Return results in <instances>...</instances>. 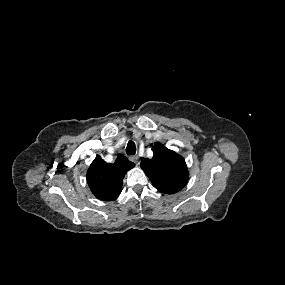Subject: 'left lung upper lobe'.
<instances>
[{"instance_id":"obj_1","label":"left lung upper lobe","mask_w":285,"mask_h":285,"mask_svg":"<svg viewBox=\"0 0 285 285\" xmlns=\"http://www.w3.org/2000/svg\"><path fill=\"white\" fill-rule=\"evenodd\" d=\"M152 150L153 158L143 159L141 168L153 186L167 194L180 191L187 184L189 176L183 157L160 143H156Z\"/></svg>"}]
</instances>
